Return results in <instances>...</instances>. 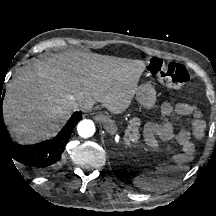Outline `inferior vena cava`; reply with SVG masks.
Segmentation results:
<instances>
[{
  "label": "inferior vena cava",
  "instance_id": "602c4592",
  "mask_svg": "<svg viewBox=\"0 0 216 216\" xmlns=\"http://www.w3.org/2000/svg\"><path fill=\"white\" fill-rule=\"evenodd\" d=\"M92 106V103L85 99V98H81L79 99L75 104H74V109H78V110H87Z\"/></svg>",
  "mask_w": 216,
  "mask_h": 216
}]
</instances>
